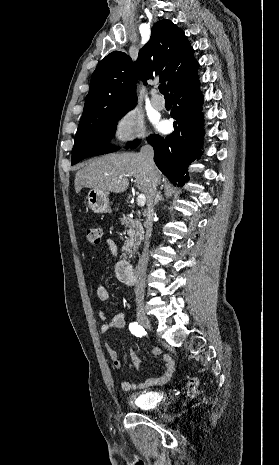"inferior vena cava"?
<instances>
[{
    "instance_id": "obj_1",
    "label": "inferior vena cava",
    "mask_w": 279,
    "mask_h": 465,
    "mask_svg": "<svg viewBox=\"0 0 279 465\" xmlns=\"http://www.w3.org/2000/svg\"><path fill=\"white\" fill-rule=\"evenodd\" d=\"M140 156L144 161V166L146 167L148 174H149V195L147 198V212L145 213L146 216V235H145V242H144V250L142 255L139 258L138 264L135 270L136 276V286H135V295L136 301L142 302L144 298V278L146 275V268H147V256L146 252L149 248L150 238L152 235V221L154 216V198L156 196L157 191V168L154 163V150L150 145H145L140 150Z\"/></svg>"
}]
</instances>
